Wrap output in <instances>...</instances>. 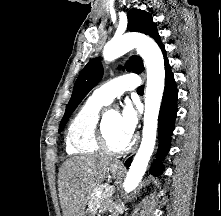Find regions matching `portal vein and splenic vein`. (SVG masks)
Returning a JSON list of instances; mask_svg holds the SVG:
<instances>
[{"mask_svg": "<svg viewBox=\"0 0 221 216\" xmlns=\"http://www.w3.org/2000/svg\"><path fill=\"white\" fill-rule=\"evenodd\" d=\"M112 191H113V186H109V187L105 188V193L112 192Z\"/></svg>", "mask_w": 221, "mask_h": 216, "instance_id": "1", "label": "portal vein and splenic vein"}]
</instances>
